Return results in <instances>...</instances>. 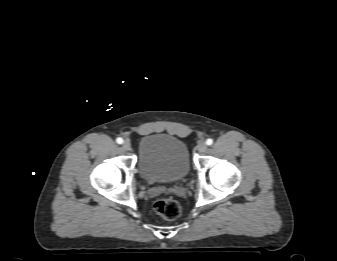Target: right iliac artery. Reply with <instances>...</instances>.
<instances>
[{"label": "right iliac artery", "instance_id": "right-iliac-artery-1", "mask_svg": "<svg viewBox=\"0 0 337 261\" xmlns=\"http://www.w3.org/2000/svg\"><path fill=\"white\" fill-rule=\"evenodd\" d=\"M116 142H117L118 144H122V143H123V139L119 137V138L116 139Z\"/></svg>", "mask_w": 337, "mask_h": 261}]
</instances>
